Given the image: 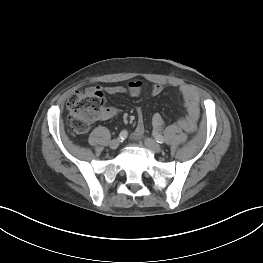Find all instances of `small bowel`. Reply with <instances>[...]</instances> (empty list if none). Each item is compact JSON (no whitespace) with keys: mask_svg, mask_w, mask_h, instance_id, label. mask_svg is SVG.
Returning a JSON list of instances; mask_svg holds the SVG:
<instances>
[{"mask_svg":"<svg viewBox=\"0 0 263 263\" xmlns=\"http://www.w3.org/2000/svg\"><path fill=\"white\" fill-rule=\"evenodd\" d=\"M94 89L101 90L100 87H94ZM144 84L141 81H131L127 87L124 86H108L105 88L107 94L117 95V94H129L132 97H137L141 95L144 91ZM163 91V86L160 84H154L150 87L149 93L152 96H157ZM180 92L183 96L186 108L187 116L181 119L180 124L185 130H192L199 117V97L196 91L189 85L180 86ZM116 114L114 108H105L101 119H109ZM138 115V125L133 138L137 139L144 131L143 124V114L141 109L137 110ZM163 118L159 113H155L152 116V126L154 129L159 130L163 126Z\"/></svg>","mask_w":263,"mask_h":263,"instance_id":"c3829d8e","label":"small bowel"}]
</instances>
